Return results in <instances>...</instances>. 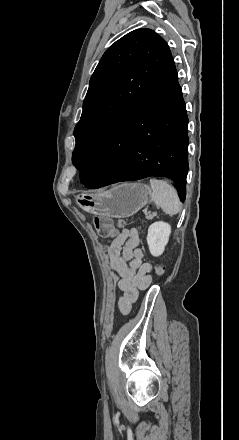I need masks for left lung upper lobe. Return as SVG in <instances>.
<instances>
[{
  "label": "left lung upper lobe",
  "instance_id": "left-lung-upper-lobe-1",
  "mask_svg": "<svg viewBox=\"0 0 239 440\" xmlns=\"http://www.w3.org/2000/svg\"><path fill=\"white\" fill-rule=\"evenodd\" d=\"M171 51L153 30L137 29L123 36L102 56L75 127L73 164L81 171L108 133L138 102L161 73Z\"/></svg>",
  "mask_w": 239,
  "mask_h": 440
}]
</instances>
